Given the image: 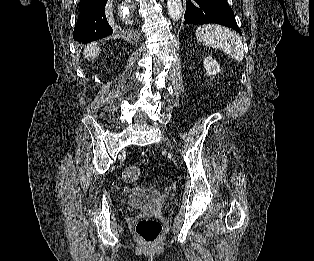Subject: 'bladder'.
<instances>
[{"label": "bladder", "instance_id": "bladder-1", "mask_svg": "<svg viewBox=\"0 0 314 261\" xmlns=\"http://www.w3.org/2000/svg\"><path fill=\"white\" fill-rule=\"evenodd\" d=\"M159 198L155 187L135 188L129 195L127 205L131 209H153L157 206Z\"/></svg>", "mask_w": 314, "mask_h": 261}]
</instances>
